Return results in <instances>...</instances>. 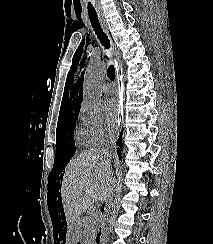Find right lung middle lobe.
<instances>
[{"mask_svg":"<svg viewBox=\"0 0 213 244\" xmlns=\"http://www.w3.org/2000/svg\"><path fill=\"white\" fill-rule=\"evenodd\" d=\"M79 108L59 114L57 123V142L54 166L49 176L51 183L58 179L60 170L65 168L71 157L74 155V127L77 120Z\"/></svg>","mask_w":213,"mask_h":244,"instance_id":"right-lung-middle-lobe-1","label":"right lung middle lobe"}]
</instances>
